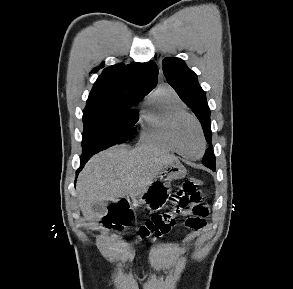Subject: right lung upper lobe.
Returning <instances> with one entry per match:
<instances>
[{"mask_svg": "<svg viewBox=\"0 0 293 289\" xmlns=\"http://www.w3.org/2000/svg\"><path fill=\"white\" fill-rule=\"evenodd\" d=\"M157 74L158 68L153 61L105 68L95 82L87 104L144 98L157 85Z\"/></svg>", "mask_w": 293, "mask_h": 289, "instance_id": "right-lung-upper-lobe-1", "label": "right lung upper lobe"}]
</instances>
